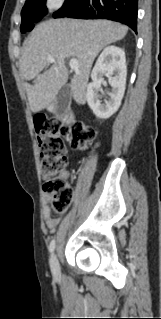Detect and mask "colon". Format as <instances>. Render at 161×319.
<instances>
[{
    "mask_svg": "<svg viewBox=\"0 0 161 319\" xmlns=\"http://www.w3.org/2000/svg\"><path fill=\"white\" fill-rule=\"evenodd\" d=\"M34 123L43 187L51 193L52 213L62 215L67 212L73 201L72 190L65 180L59 177L65 170L67 161L64 139L69 135L71 146L83 149L88 142L95 139V132L83 124L66 128L61 123L48 121L44 117L35 118Z\"/></svg>",
    "mask_w": 161,
    "mask_h": 319,
    "instance_id": "colon-1",
    "label": "colon"
}]
</instances>
